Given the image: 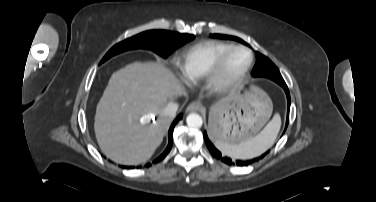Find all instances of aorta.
<instances>
[{
  "label": "aorta",
  "instance_id": "aorta-1",
  "mask_svg": "<svg viewBox=\"0 0 376 202\" xmlns=\"http://www.w3.org/2000/svg\"><path fill=\"white\" fill-rule=\"evenodd\" d=\"M186 123L190 128H200L203 124V119L197 113H190L186 118Z\"/></svg>",
  "mask_w": 376,
  "mask_h": 202
}]
</instances>
